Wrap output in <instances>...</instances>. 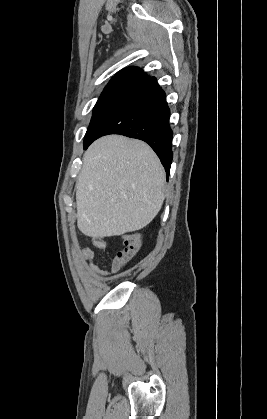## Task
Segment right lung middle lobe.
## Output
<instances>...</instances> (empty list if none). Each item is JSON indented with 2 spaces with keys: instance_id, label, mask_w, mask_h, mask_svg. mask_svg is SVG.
<instances>
[{
  "instance_id": "1",
  "label": "right lung middle lobe",
  "mask_w": 267,
  "mask_h": 419,
  "mask_svg": "<svg viewBox=\"0 0 267 419\" xmlns=\"http://www.w3.org/2000/svg\"><path fill=\"white\" fill-rule=\"evenodd\" d=\"M128 94L129 93L126 92H109L101 94L93 109L92 119L85 134L84 149L89 145L93 133L102 119Z\"/></svg>"
}]
</instances>
